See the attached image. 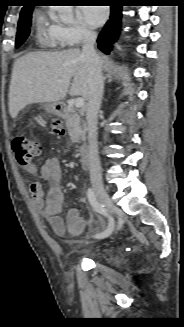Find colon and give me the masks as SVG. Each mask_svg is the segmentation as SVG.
Instances as JSON below:
<instances>
[{"label": "colon", "mask_w": 184, "mask_h": 327, "mask_svg": "<svg viewBox=\"0 0 184 327\" xmlns=\"http://www.w3.org/2000/svg\"><path fill=\"white\" fill-rule=\"evenodd\" d=\"M53 130L57 134H63L64 130L59 121L53 123ZM12 149L16 155L17 161L26 166L32 159L39 156L41 147L36 139L29 138L24 134H16L12 139Z\"/></svg>", "instance_id": "obj_1"}]
</instances>
